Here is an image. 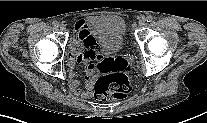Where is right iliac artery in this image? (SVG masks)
Returning a JSON list of instances; mask_svg holds the SVG:
<instances>
[{"label": "right iliac artery", "instance_id": "82829eb1", "mask_svg": "<svg viewBox=\"0 0 207 123\" xmlns=\"http://www.w3.org/2000/svg\"><path fill=\"white\" fill-rule=\"evenodd\" d=\"M53 26L54 27H58L59 26V23L57 21H53Z\"/></svg>", "mask_w": 207, "mask_h": 123}]
</instances>
